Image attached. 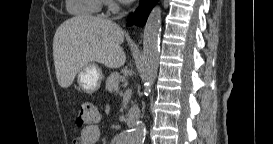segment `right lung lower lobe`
Wrapping results in <instances>:
<instances>
[{"instance_id":"1","label":"right lung lower lobe","mask_w":273,"mask_h":144,"mask_svg":"<svg viewBox=\"0 0 273 144\" xmlns=\"http://www.w3.org/2000/svg\"><path fill=\"white\" fill-rule=\"evenodd\" d=\"M158 0H140V6L134 14H131L128 18L129 25L136 24L143 26L147 20L149 12Z\"/></svg>"}]
</instances>
